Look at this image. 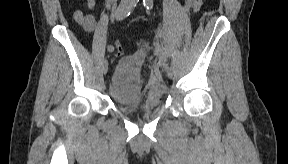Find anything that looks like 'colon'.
<instances>
[{
	"label": "colon",
	"mask_w": 288,
	"mask_h": 164,
	"mask_svg": "<svg viewBox=\"0 0 288 164\" xmlns=\"http://www.w3.org/2000/svg\"><path fill=\"white\" fill-rule=\"evenodd\" d=\"M89 27H91V26H89ZM115 46L118 48V52H114V55H119V56H122L124 53H123V51H122V46H121V44L119 43V42H116L115 43Z\"/></svg>",
	"instance_id": "obj_1"
}]
</instances>
